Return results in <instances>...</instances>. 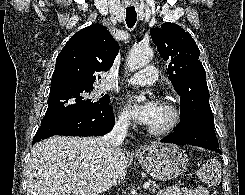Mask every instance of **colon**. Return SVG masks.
<instances>
[{
	"mask_svg": "<svg viewBox=\"0 0 245 195\" xmlns=\"http://www.w3.org/2000/svg\"><path fill=\"white\" fill-rule=\"evenodd\" d=\"M200 178L209 185H217L220 181V167L218 160L214 158L208 159L201 169Z\"/></svg>",
	"mask_w": 245,
	"mask_h": 195,
	"instance_id": "obj_1",
	"label": "colon"
}]
</instances>
